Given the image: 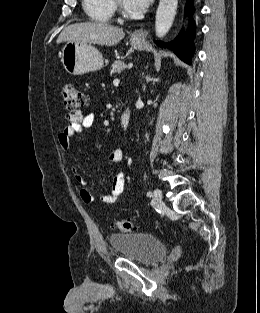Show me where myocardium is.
<instances>
[{
  "label": "myocardium",
  "instance_id": "1",
  "mask_svg": "<svg viewBox=\"0 0 260 313\" xmlns=\"http://www.w3.org/2000/svg\"><path fill=\"white\" fill-rule=\"evenodd\" d=\"M113 2H114V5H115L116 7H121V2H120V0H113Z\"/></svg>",
  "mask_w": 260,
  "mask_h": 313
}]
</instances>
